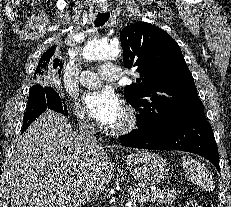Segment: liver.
Wrapping results in <instances>:
<instances>
[{
    "label": "liver",
    "mask_w": 231,
    "mask_h": 207,
    "mask_svg": "<svg viewBox=\"0 0 231 207\" xmlns=\"http://www.w3.org/2000/svg\"><path fill=\"white\" fill-rule=\"evenodd\" d=\"M112 172L104 148L83 151L73 126L47 109L19 137L11 157V207H79L86 200L85 183L98 195Z\"/></svg>",
    "instance_id": "1"
}]
</instances>
